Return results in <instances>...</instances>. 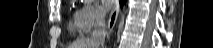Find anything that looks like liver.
<instances>
[{"mask_svg": "<svg viewBox=\"0 0 213 48\" xmlns=\"http://www.w3.org/2000/svg\"><path fill=\"white\" fill-rule=\"evenodd\" d=\"M69 48H96L90 38H81L76 40Z\"/></svg>", "mask_w": 213, "mask_h": 48, "instance_id": "1", "label": "liver"}]
</instances>
